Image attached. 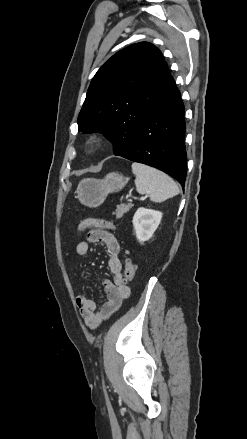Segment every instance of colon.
Returning <instances> with one entry per match:
<instances>
[{
    "mask_svg": "<svg viewBox=\"0 0 247 439\" xmlns=\"http://www.w3.org/2000/svg\"><path fill=\"white\" fill-rule=\"evenodd\" d=\"M91 227H95V228H104V229H113L114 226L112 223L105 221V220H101V219H94V218H88L85 219L83 221H81L78 225V232H83ZM135 265L134 263L130 260L127 259L125 262V269H124V283H129L134 275H135Z\"/></svg>",
    "mask_w": 247,
    "mask_h": 439,
    "instance_id": "1",
    "label": "colon"
}]
</instances>
